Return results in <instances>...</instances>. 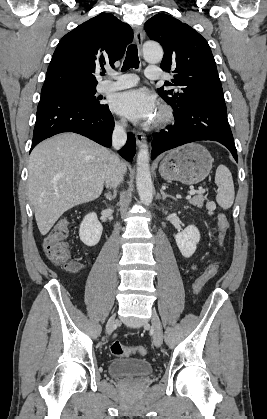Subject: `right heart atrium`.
<instances>
[{
  "label": "right heart atrium",
  "instance_id": "obj_1",
  "mask_svg": "<svg viewBox=\"0 0 267 419\" xmlns=\"http://www.w3.org/2000/svg\"><path fill=\"white\" fill-rule=\"evenodd\" d=\"M117 125H118L119 127H121V126H122V122H117Z\"/></svg>",
  "mask_w": 267,
  "mask_h": 419
}]
</instances>
